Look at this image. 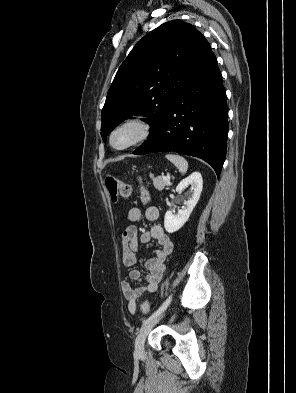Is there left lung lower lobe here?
Instances as JSON below:
<instances>
[{
    "label": "left lung lower lobe",
    "instance_id": "0a47b994",
    "mask_svg": "<svg viewBox=\"0 0 296 393\" xmlns=\"http://www.w3.org/2000/svg\"><path fill=\"white\" fill-rule=\"evenodd\" d=\"M226 91L212 53L171 104L162 123L134 154L173 151L209 163L219 177L228 136Z\"/></svg>",
    "mask_w": 296,
    "mask_h": 393
}]
</instances>
